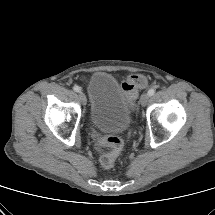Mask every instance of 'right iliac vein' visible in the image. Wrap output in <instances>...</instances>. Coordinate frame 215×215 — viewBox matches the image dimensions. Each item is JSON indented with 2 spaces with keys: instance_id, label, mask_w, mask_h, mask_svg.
<instances>
[{
  "instance_id": "obj_1",
  "label": "right iliac vein",
  "mask_w": 215,
  "mask_h": 215,
  "mask_svg": "<svg viewBox=\"0 0 215 215\" xmlns=\"http://www.w3.org/2000/svg\"><path fill=\"white\" fill-rule=\"evenodd\" d=\"M79 98H80L82 104L85 105L86 104V97H85L84 93H82L81 91L79 92Z\"/></svg>"
}]
</instances>
